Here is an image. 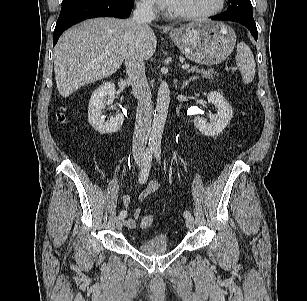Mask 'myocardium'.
Masks as SVG:
<instances>
[{
    "mask_svg": "<svg viewBox=\"0 0 307 301\" xmlns=\"http://www.w3.org/2000/svg\"><path fill=\"white\" fill-rule=\"evenodd\" d=\"M227 0H219L216 7L211 10L194 13H179L171 11V16L182 20H201L214 17L221 13L226 7Z\"/></svg>",
    "mask_w": 307,
    "mask_h": 301,
    "instance_id": "obj_1",
    "label": "myocardium"
}]
</instances>
